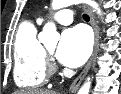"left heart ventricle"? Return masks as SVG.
<instances>
[{
  "instance_id": "b2bd125f",
  "label": "left heart ventricle",
  "mask_w": 121,
  "mask_h": 94,
  "mask_svg": "<svg viewBox=\"0 0 121 94\" xmlns=\"http://www.w3.org/2000/svg\"><path fill=\"white\" fill-rule=\"evenodd\" d=\"M47 49H48L50 52H53L55 48H54V47H48Z\"/></svg>"
}]
</instances>
